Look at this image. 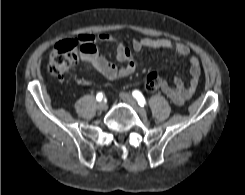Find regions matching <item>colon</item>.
Here are the masks:
<instances>
[{"label":"colon","instance_id":"1","mask_svg":"<svg viewBox=\"0 0 245 195\" xmlns=\"http://www.w3.org/2000/svg\"><path fill=\"white\" fill-rule=\"evenodd\" d=\"M82 49V46H78V41L74 39L58 42L50 54L48 72L54 77H63L76 66ZM164 83V78L153 72L147 75L144 87L147 92L152 93L161 89Z\"/></svg>","mask_w":245,"mask_h":195}]
</instances>
